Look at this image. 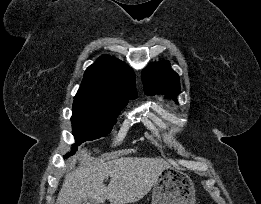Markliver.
Here are the masks:
<instances>
[{"mask_svg":"<svg viewBox=\"0 0 261 204\" xmlns=\"http://www.w3.org/2000/svg\"><path fill=\"white\" fill-rule=\"evenodd\" d=\"M79 165L67 173L56 204H79L93 199L110 204H128L142 199L156 183L160 172L170 165L159 158L121 157L94 163L88 153L79 155ZM110 177L108 186L104 180Z\"/></svg>","mask_w":261,"mask_h":204,"instance_id":"6515ba94","label":"liver"}]
</instances>
